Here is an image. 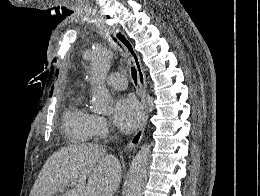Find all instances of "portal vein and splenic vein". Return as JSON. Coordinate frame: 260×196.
Returning a JSON list of instances; mask_svg holds the SVG:
<instances>
[{"label":"portal vein and splenic vein","mask_w":260,"mask_h":196,"mask_svg":"<svg viewBox=\"0 0 260 196\" xmlns=\"http://www.w3.org/2000/svg\"><path fill=\"white\" fill-rule=\"evenodd\" d=\"M72 186H74V184H70V188H72ZM62 192L64 190V188H61Z\"/></svg>","instance_id":"obj_1"}]
</instances>
